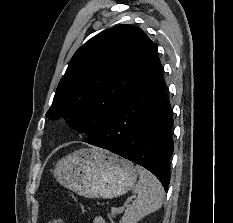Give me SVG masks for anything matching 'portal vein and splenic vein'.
Returning <instances> with one entry per match:
<instances>
[{
    "label": "portal vein and splenic vein",
    "instance_id": "1",
    "mask_svg": "<svg viewBox=\"0 0 233 223\" xmlns=\"http://www.w3.org/2000/svg\"><path fill=\"white\" fill-rule=\"evenodd\" d=\"M124 207H126V205H124ZM124 207H119L118 213H120V211H123Z\"/></svg>",
    "mask_w": 233,
    "mask_h": 223
}]
</instances>
